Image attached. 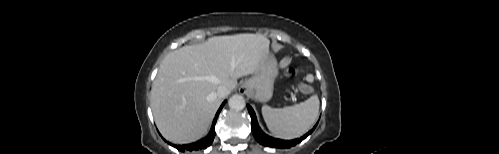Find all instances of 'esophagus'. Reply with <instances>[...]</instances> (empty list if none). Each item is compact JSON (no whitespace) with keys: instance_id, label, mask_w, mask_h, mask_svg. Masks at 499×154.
I'll return each mask as SVG.
<instances>
[{"instance_id":"obj_1","label":"esophagus","mask_w":499,"mask_h":154,"mask_svg":"<svg viewBox=\"0 0 499 154\" xmlns=\"http://www.w3.org/2000/svg\"><path fill=\"white\" fill-rule=\"evenodd\" d=\"M241 91H242V93H246V91H247V90H246V89H244V87H242V90H241Z\"/></svg>"}]
</instances>
